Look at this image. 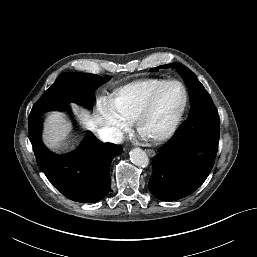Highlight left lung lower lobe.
<instances>
[{
	"instance_id": "left-lung-lower-lobe-1",
	"label": "left lung lower lobe",
	"mask_w": 257,
	"mask_h": 257,
	"mask_svg": "<svg viewBox=\"0 0 257 257\" xmlns=\"http://www.w3.org/2000/svg\"><path fill=\"white\" fill-rule=\"evenodd\" d=\"M219 126H201L197 135L173 136L153 158L149 190L162 201L184 198L208 177L217 154Z\"/></svg>"
}]
</instances>
